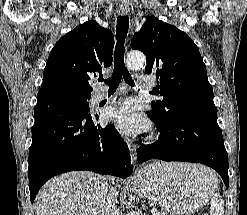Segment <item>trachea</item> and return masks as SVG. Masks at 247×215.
Instances as JSON below:
<instances>
[{
    "instance_id": "obj_1",
    "label": "trachea",
    "mask_w": 247,
    "mask_h": 215,
    "mask_svg": "<svg viewBox=\"0 0 247 215\" xmlns=\"http://www.w3.org/2000/svg\"><path fill=\"white\" fill-rule=\"evenodd\" d=\"M129 28V18L128 16H119L117 18V28H116V47L114 52V70L112 76L108 79H103L99 77L98 81L105 82L109 86V90H116L123 78L127 84L131 87L134 86V81L127 70L124 63V42L127 37Z\"/></svg>"
}]
</instances>
